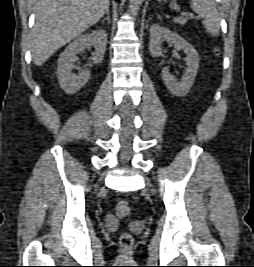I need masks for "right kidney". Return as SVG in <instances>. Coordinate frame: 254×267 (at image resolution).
Wrapping results in <instances>:
<instances>
[{
    "label": "right kidney",
    "mask_w": 254,
    "mask_h": 267,
    "mask_svg": "<svg viewBox=\"0 0 254 267\" xmlns=\"http://www.w3.org/2000/svg\"><path fill=\"white\" fill-rule=\"evenodd\" d=\"M106 44V31L97 29L82 35L66 47L58 59L57 70L58 81L64 92L67 94L76 93L90 78V71L88 69L81 70L78 75L72 73L77 54L93 46L95 51L91 57L92 63L90 66H92V64L100 63L103 60Z\"/></svg>",
    "instance_id": "ca27d5eb"
}]
</instances>
